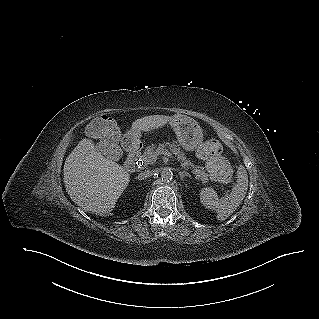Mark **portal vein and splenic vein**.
I'll return each mask as SVG.
<instances>
[{
    "label": "portal vein and splenic vein",
    "mask_w": 319,
    "mask_h": 319,
    "mask_svg": "<svg viewBox=\"0 0 319 319\" xmlns=\"http://www.w3.org/2000/svg\"><path fill=\"white\" fill-rule=\"evenodd\" d=\"M160 154L165 155V156H167V157H170V158H172L173 160H177V159L172 155V153H170L168 150H163V151H158V152H156V153L152 156V159H153V160H156L157 156L160 155ZM197 179H199V177H198Z\"/></svg>",
    "instance_id": "1"
}]
</instances>
